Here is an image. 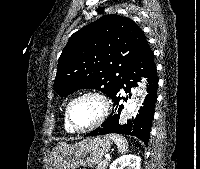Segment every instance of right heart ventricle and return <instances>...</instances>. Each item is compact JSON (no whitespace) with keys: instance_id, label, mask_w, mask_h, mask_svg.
Instances as JSON below:
<instances>
[{"instance_id":"e07e8e85","label":"right heart ventricle","mask_w":200,"mask_h":169,"mask_svg":"<svg viewBox=\"0 0 200 169\" xmlns=\"http://www.w3.org/2000/svg\"><path fill=\"white\" fill-rule=\"evenodd\" d=\"M64 128L69 133H73L74 132L72 130V128L69 126L68 122H67L66 115L64 116Z\"/></svg>"}]
</instances>
